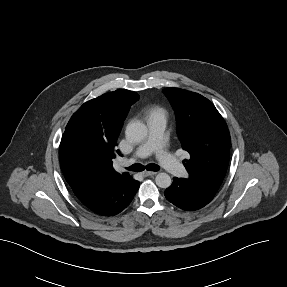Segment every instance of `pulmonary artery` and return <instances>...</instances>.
I'll return each mask as SVG.
<instances>
[{"mask_svg":"<svg viewBox=\"0 0 287 287\" xmlns=\"http://www.w3.org/2000/svg\"><path fill=\"white\" fill-rule=\"evenodd\" d=\"M165 127L166 122L164 120L149 119L147 138L137 147L133 157L130 160H125L123 164L134 162L138 158H145L154 152L159 163L170 174L177 177L184 176L186 174L184 166L165 149Z\"/></svg>","mask_w":287,"mask_h":287,"instance_id":"obj_1","label":"pulmonary artery"}]
</instances>
